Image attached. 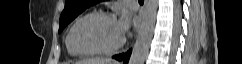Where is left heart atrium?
<instances>
[{
  "label": "left heart atrium",
  "mask_w": 242,
  "mask_h": 64,
  "mask_svg": "<svg viewBox=\"0 0 242 64\" xmlns=\"http://www.w3.org/2000/svg\"><path fill=\"white\" fill-rule=\"evenodd\" d=\"M117 27L121 35L123 36L130 27V17L126 12H123L120 18L116 21Z\"/></svg>",
  "instance_id": "left-heart-atrium-1"
}]
</instances>
